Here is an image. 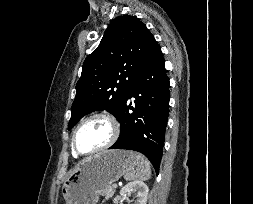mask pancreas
Segmentation results:
<instances>
[{"mask_svg":"<svg viewBox=\"0 0 253 204\" xmlns=\"http://www.w3.org/2000/svg\"><path fill=\"white\" fill-rule=\"evenodd\" d=\"M114 192L115 188L113 187V185H110L102 192V195L105 196L106 198H109L114 195Z\"/></svg>","mask_w":253,"mask_h":204,"instance_id":"1","label":"pancreas"}]
</instances>
